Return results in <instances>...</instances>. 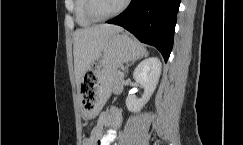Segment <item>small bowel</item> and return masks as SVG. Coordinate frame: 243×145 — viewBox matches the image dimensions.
I'll list each match as a JSON object with an SVG mask.
<instances>
[{
  "label": "small bowel",
  "instance_id": "1",
  "mask_svg": "<svg viewBox=\"0 0 243 145\" xmlns=\"http://www.w3.org/2000/svg\"><path fill=\"white\" fill-rule=\"evenodd\" d=\"M121 122V114L117 109L101 113L96 124L89 129V135L84 139L83 145H111L117 139V130ZM103 127L108 128L105 134Z\"/></svg>",
  "mask_w": 243,
  "mask_h": 145
}]
</instances>
